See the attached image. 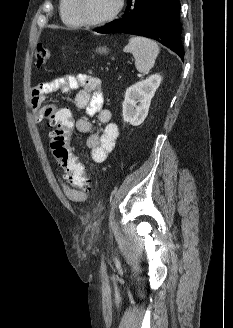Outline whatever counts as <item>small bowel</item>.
<instances>
[{"instance_id":"c3829d8e","label":"small bowel","mask_w":233,"mask_h":328,"mask_svg":"<svg viewBox=\"0 0 233 328\" xmlns=\"http://www.w3.org/2000/svg\"><path fill=\"white\" fill-rule=\"evenodd\" d=\"M56 90L64 93L76 91L75 105L84 109L89 116L97 115L103 125L101 134L93 131L89 119L81 118L75 123L76 129L87 135L86 146L90 150L91 159L96 163L105 161L115 147L119 136V128L112 121V114L104 106V88L102 81L97 77L79 74L76 77L65 75L45 83H41L32 90V108L37 119H47L57 108L45 102L46 95ZM64 169V168H63ZM66 177L61 181L63 190L68 198L74 201H83L86 194L83 190L71 186L69 174L64 169Z\"/></svg>"}]
</instances>
